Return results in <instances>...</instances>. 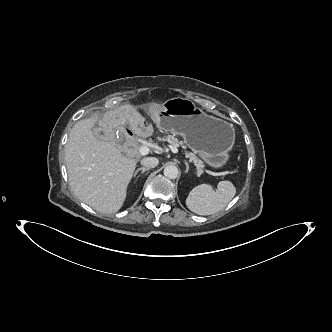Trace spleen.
Listing matches in <instances>:
<instances>
[{"label":"spleen","instance_id":"1","mask_svg":"<svg viewBox=\"0 0 332 332\" xmlns=\"http://www.w3.org/2000/svg\"><path fill=\"white\" fill-rule=\"evenodd\" d=\"M235 194L236 189L230 181L219 182L216 191L208 184H201L191 190L186 205L198 215H211L226 207Z\"/></svg>","mask_w":332,"mask_h":332}]
</instances>
